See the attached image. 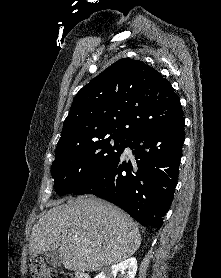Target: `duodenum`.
Masks as SVG:
<instances>
[{
  "label": "duodenum",
  "mask_w": 221,
  "mask_h": 278,
  "mask_svg": "<svg viewBox=\"0 0 221 278\" xmlns=\"http://www.w3.org/2000/svg\"><path fill=\"white\" fill-rule=\"evenodd\" d=\"M76 278H90L88 274L84 272H78L76 273Z\"/></svg>",
  "instance_id": "duodenum-1"
}]
</instances>
